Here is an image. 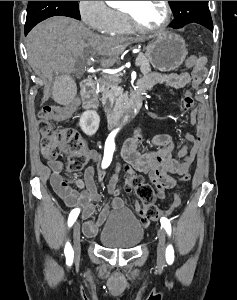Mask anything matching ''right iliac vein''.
I'll return each instance as SVG.
<instances>
[{
    "label": "right iliac vein",
    "instance_id": "obj_1",
    "mask_svg": "<svg viewBox=\"0 0 237 300\" xmlns=\"http://www.w3.org/2000/svg\"><path fill=\"white\" fill-rule=\"evenodd\" d=\"M73 248L76 256L80 254L81 242H80V225L78 222L73 227Z\"/></svg>",
    "mask_w": 237,
    "mask_h": 300
}]
</instances>
